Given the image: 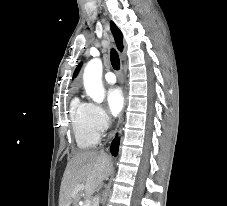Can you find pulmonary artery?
I'll list each match as a JSON object with an SVG mask.
<instances>
[{"instance_id":"e3ab8cb5","label":"pulmonary artery","mask_w":227,"mask_h":206,"mask_svg":"<svg viewBox=\"0 0 227 206\" xmlns=\"http://www.w3.org/2000/svg\"><path fill=\"white\" fill-rule=\"evenodd\" d=\"M104 78H105L106 82L109 84H114L117 81L115 74L111 71H108L105 74Z\"/></svg>"}]
</instances>
